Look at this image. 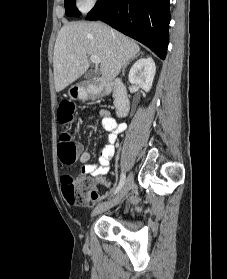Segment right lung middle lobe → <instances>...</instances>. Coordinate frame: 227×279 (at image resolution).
Instances as JSON below:
<instances>
[{
    "instance_id": "dd1d6c3e",
    "label": "right lung middle lobe",
    "mask_w": 227,
    "mask_h": 279,
    "mask_svg": "<svg viewBox=\"0 0 227 279\" xmlns=\"http://www.w3.org/2000/svg\"><path fill=\"white\" fill-rule=\"evenodd\" d=\"M65 13L67 16H78L80 15L78 9L75 6V0H65Z\"/></svg>"
}]
</instances>
